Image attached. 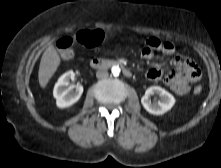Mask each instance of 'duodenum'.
I'll return each instance as SVG.
<instances>
[{
	"mask_svg": "<svg viewBox=\"0 0 221 168\" xmlns=\"http://www.w3.org/2000/svg\"><path fill=\"white\" fill-rule=\"evenodd\" d=\"M90 66L93 69H98V70L108 69V68H112V67H119V68H121L123 74L126 77H131L132 76V71L130 70V68H128L120 60H104V59H100V58H93L90 61Z\"/></svg>",
	"mask_w": 221,
	"mask_h": 168,
	"instance_id": "obj_1",
	"label": "duodenum"
}]
</instances>
